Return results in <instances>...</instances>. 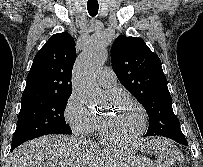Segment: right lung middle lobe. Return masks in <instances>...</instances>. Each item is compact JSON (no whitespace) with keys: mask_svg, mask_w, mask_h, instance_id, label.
<instances>
[{"mask_svg":"<svg viewBox=\"0 0 203 167\" xmlns=\"http://www.w3.org/2000/svg\"><path fill=\"white\" fill-rule=\"evenodd\" d=\"M70 95L37 97L21 101L11 148L46 134H71L64 118Z\"/></svg>","mask_w":203,"mask_h":167,"instance_id":"dd1d6c3e","label":"right lung middle lobe"}]
</instances>
